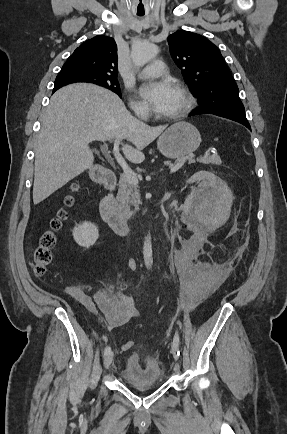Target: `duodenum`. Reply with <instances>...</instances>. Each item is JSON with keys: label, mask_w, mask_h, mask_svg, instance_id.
Returning <instances> with one entry per match:
<instances>
[{"label": "duodenum", "mask_w": 287, "mask_h": 434, "mask_svg": "<svg viewBox=\"0 0 287 434\" xmlns=\"http://www.w3.org/2000/svg\"><path fill=\"white\" fill-rule=\"evenodd\" d=\"M92 177L101 182L108 190L100 203V214L102 219L112 228L119 236L126 237L130 234L128 222L120 217L114 209L115 189L117 184V175L111 169H93Z\"/></svg>", "instance_id": "1"}]
</instances>
